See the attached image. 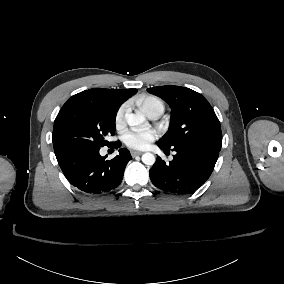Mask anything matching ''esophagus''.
Masks as SVG:
<instances>
[{
	"instance_id": "34e87169",
	"label": "esophagus",
	"mask_w": 284,
	"mask_h": 284,
	"mask_svg": "<svg viewBox=\"0 0 284 284\" xmlns=\"http://www.w3.org/2000/svg\"><path fill=\"white\" fill-rule=\"evenodd\" d=\"M142 154H143V152H141V151H135V150L131 151V155H132L133 157H135V156H137V155H142Z\"/></svg>"
}]
</instances>
